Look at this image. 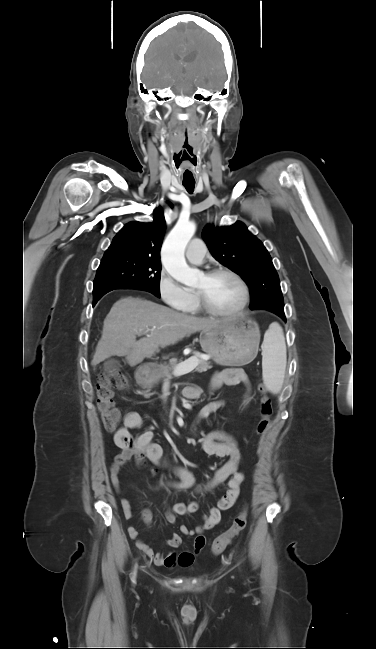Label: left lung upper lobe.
<instances>
[{"mask_svg":"<svg viewBox=\"0 0 376 649\" xmlns=\"http://www.w3.org/2000/svg\"><path fill=\"white\" fill-rule=\"evenodd\" d=\"M202 237L212 256L247 283L252 310L266 309L281 318L285 316L279 277L271 257L261 241L242 222L217 228L207 225Z\"/></svg>","mask_w":376,"mask_h":649,"instance_id":"left-lung-upper-lobe-1","label":"left lung upper lobe"}]
</instances>
